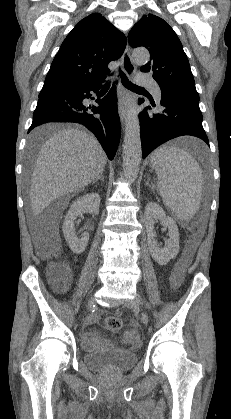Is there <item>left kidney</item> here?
<instances>
[{
    "mask_svg": "<svg viewBox=\"0 0 231 419\" xmlns=\"http://www.w3.org/2000/svg\"><path fill=\"white\" fill-rule=\"evenodd\" d=\"M156 220H160L164 227L169 230V239L166 245L159 247L153 232ZM144 221L147 231V241L152 258L159 264L165 265L175 258L179 252V231L176 222L166 215L161 206L154 202H149L145 207Z\"/></svg>",
    "mask_w": 231,
    "mask_h": 419,
    "instance_id": "1",
    "label": "left kidney"
}]
</instances>
